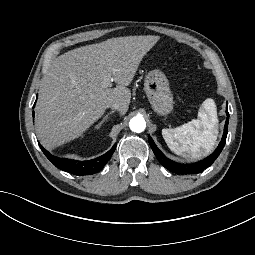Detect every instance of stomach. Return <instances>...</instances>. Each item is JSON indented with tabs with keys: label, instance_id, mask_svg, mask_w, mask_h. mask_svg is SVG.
<instances>
[{
	"label": "stomach",
	"instance_id": "obj_1",
	"mask_svg": "<svg viewBox=\"0 0 255 255\" xmlns=\"http://www.w3.org/2000/svg\"><path fill=\"white\" fill-rule=\"evenodd\" d=\"M144 90L151 108L158 115L167 116L173 111V95L167 77L162 72L149 73L144 81Z\"/></svg>",
	"mask_w": 255,
	"mask_h": 255
}]
</instances>
